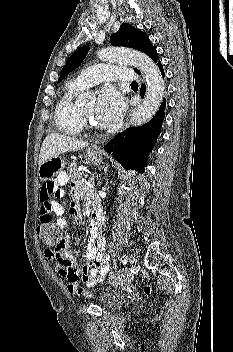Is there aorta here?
I'll use <instances>...</instances> for the list:
<instances>
[{
    "label": "aorta",
    "instance_id": "obj_1",
    "mask_svg": "<svg viewBox=\"0 0 233 352\" xmlns=\"http://www.w3.org/2000/svg\"><path fill=\"white\" fill-rule=\"evenodd\" d=\"M104 61L123 62L136 66L147 81L146 97L140 107L131 115L130 124L140 126L147 122L158 110L164 96V82L155 63L144 53L121 48H105L97 53ZM90 92H83L79 99L91 98Z\"/></svg>",
    "mask_w": 233,
    "mask_h": 352
}]
</instances>
